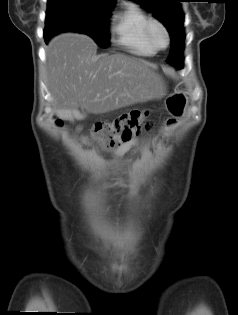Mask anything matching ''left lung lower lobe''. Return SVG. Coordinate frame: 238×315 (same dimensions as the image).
<instances>
[{"instance_id": "left-lung-lower-lobe-1", "label": "left lung lower lobe", "mask_w": 238, "mask_h": 315, "mask_svg": "<svg viewBox=\"0 0 238 315\" xmlns=\"http://www.w3.org/2000/svg\"><path fill=\"white\" fill-rule=\"evenodd\" d=\"M184 39L185 36L183 34L171 36L170 56L174 57L176 61H178V67H181L183 65L182 53L184 49Z\"/></svg>"}]
</instances>
